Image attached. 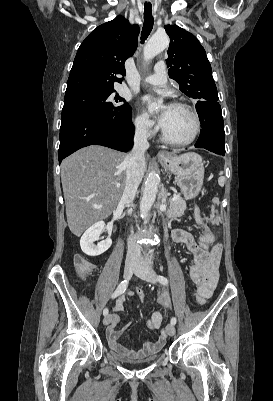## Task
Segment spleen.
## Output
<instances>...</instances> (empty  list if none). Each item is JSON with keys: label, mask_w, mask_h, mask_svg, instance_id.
<instances>
[{"label": "spleen", "mask_w": 273, "mask_h": 401, "mask_svg": "<svg viewBox=\"0 0 273 401\" xmlns=\"http://www.w3.org/2000/svg\"><path fill=\"white\" fill-rule=\"evenodd\" d=\"M219 174H223V170H221V172H219ZM218 182H219L220 186H224V184H225V176H219Z\"/></svg>", "instance_id": "spleen-1"}]
</instances>
